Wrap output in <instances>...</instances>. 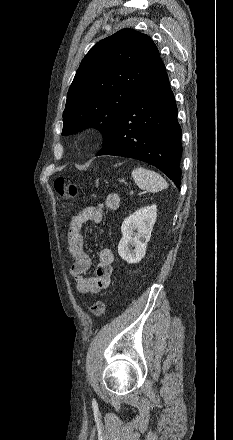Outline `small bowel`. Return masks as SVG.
Instances as JSON below:
<instances>
[{"label": "small bowel", "mask_w": 233, "mask_h": 440, "mask_svg": "<svg viewBox=\"0 0 233 440\" xmlns=\"http://www.w3.org/2000/svg\"><path fill=\"white\" fill-rule=\"evenodd\" d=\"M120 205L118 194L111 193L97 206L88 207L77 213L71 220L68 233V250L73 258L69 274L72 277L75 289L81 294H96L106 289L111 282L114 253L110 248H102L99 253V262L95 273L88 275L92 264L90 256L85 252L82 227L89 222L98 227L106 211H114Z\"/></svg>", "instance_id": "1"}]
</instances>
